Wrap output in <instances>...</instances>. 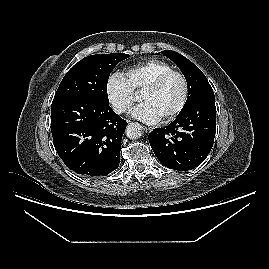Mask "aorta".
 I'll list each match as a JSON object with an SVG mask.
<instances>
[{"label":"aorta","instance_id":"762f6f07","mask_svg":"<svg viewBox=\"0 0 269 269\" xmlns=\"http://www.w3.org/2000/svg\"><path fill=\"white\" fill-rule=\"evenodd\" d=\"M126 135L132 140L139 139L143 135V128L138 123H130L126 128Z\"/></svg>","mask_w":269,"mask_h":269}]
</instances>
